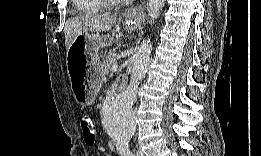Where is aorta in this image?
<instances>
[{
  "mask_svg": "<svg viewBox=\"0 0 261 156\" xmlns=\"http://www.w3.org/2000/svg\"><path fill=\"white\" fill-rule=\"evenodd\" d=\"M163 5L164 0H148L147 12L150 25L159 17ZM151 50L150 39H144L133 57L129 85L122 93L109 96L103 103L102 126L107 135L115 142H128L135 133L133 104L137 98L139 84L147 73Z\"/></svg>",
  "mask_w": 261,
  "mask_h": 156,
  "instance_id": "obj_1",
  "label": "aorta"
}]
</instances>
